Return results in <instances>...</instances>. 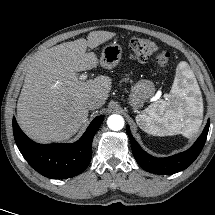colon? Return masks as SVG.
Listing matches in <instances>:
<instances>
[{"instance_id": "5ec220e1", "label": "colon", "mask_w": 215, "mask_h": 215, "mask_svg": "<svg viewBox=\"0 0 215 215\" xmlns=\"http://www.w3.org/2000/svg\"><path fill=\"white\" fill-rule=\"evenodd\" d=\"M130 49L139 61H146L155 57L158 65L164 67L170 60V53L160 49L155 42L145 38H132L130 40Z\"/></svg>"}]
</instances>
